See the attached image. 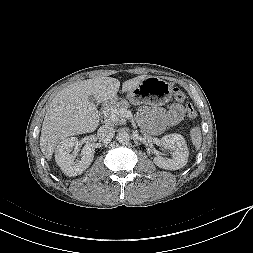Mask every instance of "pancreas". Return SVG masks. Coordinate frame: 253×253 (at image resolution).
I'll return each mask as SVG.
<instances>
[{
	"label": "pancreas",
	"instance_id": "cf45deb5",
	"mask_svg": "<svg viewBox=\"0 0 253 253\" xmlns=\"http://www.w3.org/2000/svg\"><path fill=\"white\" fill-rule=\"evenodd\" d=\"M130 108V104L126 100H121L119 102H115L114 104L110 105L108 108L104 110V116L106 119V122L109 124H115L116 121L111 120L110 114L115 109H125L127 110Z\"/></svg>",
	"mask_w": 253,
	"mask_h": 253
}]
</instances>
